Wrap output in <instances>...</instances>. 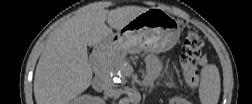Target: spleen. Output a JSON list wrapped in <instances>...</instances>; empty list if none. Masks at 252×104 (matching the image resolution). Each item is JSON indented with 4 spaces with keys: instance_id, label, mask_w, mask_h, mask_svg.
I'll return each instance as SVG.
<instances>
[{
    "instance_id": "3e777b00",
    "label": "spleen",
    "mask_w": 252,
    "mask_h": 104,
    "mask_svg": "<svg viewBox=\"0 0 252 104\" xmlns=\"http://www.w3.org/2000/svg\"><path fill=\"white\" fill-rule=\"evenodd\" d=\"M220 74L215 64H209L201 70L199 98L203 104H216L220 96Z\"/></svg>"
}]
</instances>
